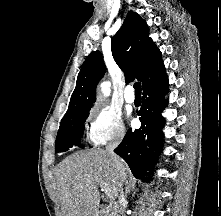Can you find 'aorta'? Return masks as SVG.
<instances>
[{
  "instance_id": "obj_1",
  "label": "aorta",
  "mask_w": 221,
  "mask_h": 216,
  "mask_svg": "<svg viewBox=\"0 0 221 216\" xmlns=\"http://www.w3.org/2000/svg\"><path fill=\"white\" fill-rule=\"evenodd\" d=\"M101 90L105 96H108L110 94V83L109 82H103L101 84Z\"/></svg>"
}]
</instances>
